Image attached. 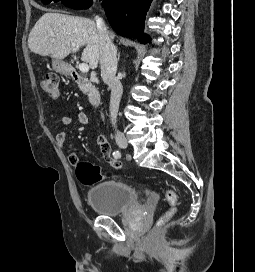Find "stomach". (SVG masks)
<instances>
[{
  "instance_id": "stomach-1",
  "label": "stomach",
  "mask_w": 255,
  "mask_h": 272,
  "mask_svg": "<svg viewBox=\"0 0 255 272\" xmlns=\"http://www.w3.org/2000/svg\"><path fill=\"white\" fill-rule=\"evenodd\" d=\"M52 67L56 72L60 74H63L65 76L70 75L71 72L70 66L67 63L63 62L62 60H53Z\"/></svg>"
}]
</instances>
